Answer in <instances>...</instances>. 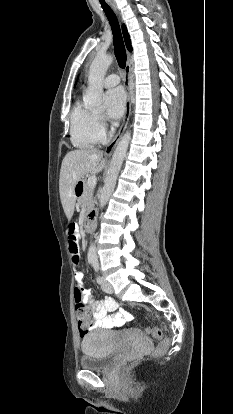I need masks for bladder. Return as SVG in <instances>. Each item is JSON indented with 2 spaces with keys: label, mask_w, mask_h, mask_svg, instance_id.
I'll list each match as a JSON object with an SVG mask.
<instances>
[{
  "label": "bladder",
  "mask_w": 233,
  "mask_h": 414,
  "mask_svg": "<svg viewBox=\"0 0 233 414\" xmlns=\"http://www.w3.org/2000/svg\"><path fill=\"white\" fill-rule=\"evenodd\" d=\"M117 332L105 329H93L87 332L81 342L83 352L79 364L85 370L108 369L118 353ZM142 344L150 347L148 339L139 336Z\"/></svg>",
  "instance_id": "31cf9c89"
}]
</instances>
